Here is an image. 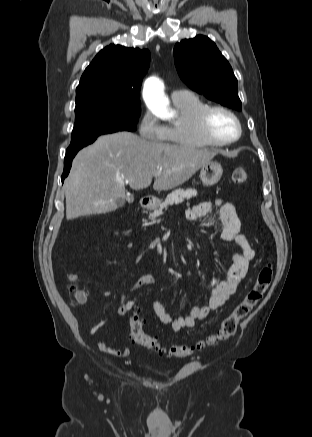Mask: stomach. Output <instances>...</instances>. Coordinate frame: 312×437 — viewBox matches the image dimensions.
Wrapping results in <instances>:
<instances>
[{
  "instance_id": "1",
  "label": "stomach",
  "mask_w": 312,
  "mask_h": 437,
  "mask_svg": "<svg viewBox=\"0 0 312 437\" xmlns=\"http://www.w3.org/2000/svg\"><path fill=\"white\" fill-rule=\"evenodd\" d=\"M223 169L220 163L216 161H210L201 167L200 179L205 186L215 185L221 178ZM158 204V201L154 202V206Z\"/></svg>"
}]
</instances>
